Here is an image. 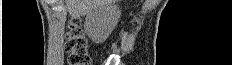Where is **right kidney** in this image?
Masks as SVG:
<instances>
[{
  "label": "right kidney",
  "mask_w": 232,
  "mask_h": 65,
  "mask_svg": "<svg viewBox=\"0 0 232 65\" xmlns=\"http://www.w3.org/2000/svg\"><path fill=\"white\" fill-rule=\"evenodd\" d=\"M120 14L117 5L109 4L94 8L85 19L86 34L95 43L104 42L117 25Z\"/></svg>",
  "instance_id": "right-kidney-1"
}]
</instances>
